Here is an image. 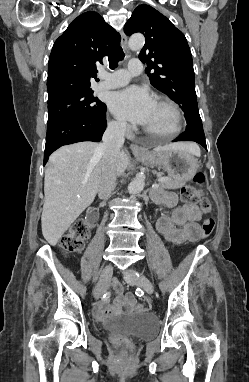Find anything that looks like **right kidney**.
Returning <instances> with one entry per match:
<instances>
[{"label":"right kidney","instance_id":"right-kidney-1","mask_svg":"<svg viewBox=\"0 0 249 382\" xmlns=\"http://www.w3.org/2000/svg\"><path fill=\"white\" fill-rule=\"evenodd\" d=\"M86 221H87V226L89 227L90 230H95L96 229V224H98V208L97 207H90L87 210L86 214Z\"/></svg>","mask_w":249,"mask_h":382}]
</instances>
